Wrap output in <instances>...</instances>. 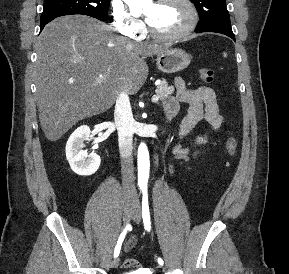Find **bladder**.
<instances>
[{"label": "bladder", "mask_w": 289, "mask_h": 274, "mask_svg": "<svg viewBox=\"0 0 289 274\" xmlns=\"http://www.w3.org/2000/svg\"><path fill=\"white\" fill-rule=\"evenodd\" d=\"M122 274H147L142 271H129V272H123Z\"/></svg>", "instance_id": "1"}]
</instances>
